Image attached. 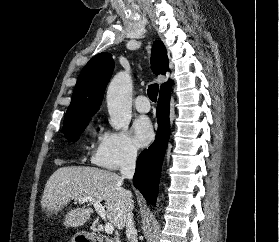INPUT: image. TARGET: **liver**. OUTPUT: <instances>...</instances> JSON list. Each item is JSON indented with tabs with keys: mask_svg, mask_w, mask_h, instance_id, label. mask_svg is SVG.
<instances>
[{
	"mask_svg": "<svg viewBox=\"0 0 279 242\" xmlns=\"http://www.w3.org/2000/svg\"><path fill=\"white\" fill-rule=\"evenodd\" d=\"M122 185L123 177L112 171L84 166L61 167L48 179L41 206L43 210L46 209L49 217L53 213L57 214L71 200L77 201L79 197L104 201L107 219L122 230L126 225L127 214L134 206L131 192ZM90 216L89 208L77 207L67 212L63 224L66 227H79Z\"/></svg>",
	"mask_w": 279,
	"mask_h": 242,
	"instance_id": "obj_1",
	"label": "liver"
}]
</instances>
